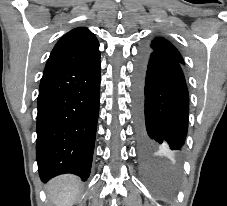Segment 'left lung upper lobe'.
<instances>
[{"label":"left lung upper lobe","mask_w":227,"mask_h":206,"mask_svg":"<svg viewBox=\"0 0 227 206\" xmlns=\"http://www.w3.org/2000/svg\"><path fill=\"white\" fill-rule=\"evenodd\" d=\"M145 50L149 53L163 55L184 64V60L179 51L164 38H155Z\"/></svg>","instance_id":"obj_1"}]
</instances>
